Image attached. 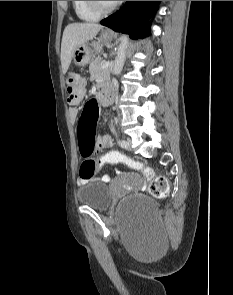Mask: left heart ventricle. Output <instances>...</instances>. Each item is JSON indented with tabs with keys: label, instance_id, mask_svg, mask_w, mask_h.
<instances>
[{
	"label": "left heart ventricle",
	"instance_id": "1",
	"mask_svg": "<svg viewBox=\"0 0 233 295\" xmlns=\"http://www.w3.org/2000/svg\"><path fill=\"white\" fill-rule=\"evenodd\" d=\"M116 1H100L101 5L103 7H109L111 6L112 4H114Z\"/></svg>",
	"mask_w": 233,
	"mask_h": 295
}]
</instances>
